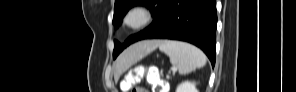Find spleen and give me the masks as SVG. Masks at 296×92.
Returning a JSON list of instances; mask_svg holds the SVG:
<instances>
[{
  "label": "spleen",
  "instance_id": "spleen-1",
  "mask_svg": "<svg viewBox=\"0 0 296 92\" xmlns=\"http://www.w3.org/2000/svg\"><path fill=\"white\" fill-rule=\"evenodd\" d=\"M160 51L169 56L180 74H187L206 64V56L197 47L180 41L165 40L159 43Z\"/></svg>",
  "mask_w": 296,
  "mask_h": 92
}]
</instances>
